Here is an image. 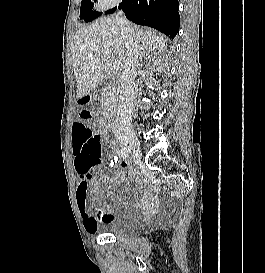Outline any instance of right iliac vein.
Wrapping results in <instances>:
<instances>
[{
	"label": "right iliac vein",
	"instance_id": "right-iliac-vein-1",
	"mask_svg": "<svg viewBox=\"0 0 265 273\" xmlns=\"http://www.w3.org/2000/svg\"><path fill=\"white\" fill-rule=\"evenodd\" d=\"M123 142L128 146L136 160L139 162L141 160V149L138 138L134 134H127L123 139Z\"/></svg>",
	"mask_w": 265,
	"mask_h": 273
}]
</instances>
